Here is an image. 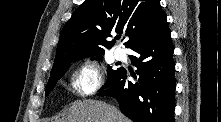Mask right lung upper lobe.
Wrapping results in <instances>:
<instances>
[{
    "label": "right lung upper lobe",
    "mask_w": 221,
    "mask_h": 122,
    "mask_svg": "<svg viewBox=\"0 0 221 122\" xmlns=\"http://www.w3.org/2000/svg\"><path fill=\"white\" fill-rule=\"evenodd\" d=\"M164 22L166 15L159 0H86L64 26L58 42L54 74L73 61L104 53L101 46L111 48L113 33L125 32L124 43L133 48L152 35Z\"/></svg>",
    "instance_id": "right-lung-upper-lobe-1"
}]
</instances>
